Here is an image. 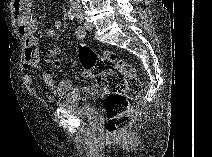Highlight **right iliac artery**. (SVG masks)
<instances>
[{
  "instance_id": "right-iliac-artery-1",
  "label": "right iliac artery",
  "mask_w": 212,
  "mask_h": 157,
  "mask_svg": "<svg viewBox=\"0 0 212 157\" xmlns=\"http://www.w3.org/2000/svg\"><path fill=\"white\" fill-rule=\"evenodd\" d=\"M73 18H74V16H73V15H71V16H70V19H71V20H73Z\"/></svg>"
}]
</instances>
